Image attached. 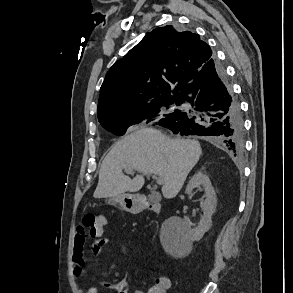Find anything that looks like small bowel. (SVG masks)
I'll return each mask as SVG.
<instances>
[{
  "label": "small bowel",
  "mask_w": 293,
  "mask_h": 293,
  "mask_svg": "<svg viewBox=\"0 0 293 293\" xmlns=\"http://www.w3.org/2000/svg\"><path fill=\"white\" fill-rule=\"evenodd\" d=\"M88 236L84 230L79 229L74 239L73 255H72V268L76 276H84L87 271V262L89 256H97L101 254L105 247L111 246L117 248L122 254L125 253V246L121 243H117L110 238L104 236V232L97 238H91V246L86 248ZM159 281L164 282V293L170 288L171 282L168 278L162 277ZM103 285L109 289L114 290L116 293H144L142 290H131L129 280L127 277H123L117 283H110L108 281H102ZM81 293H98L96 287L90 286L83 289Z\"/></svg>",
  "instance_id": "c3829d8e"
}]
</instances>
